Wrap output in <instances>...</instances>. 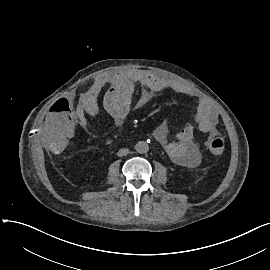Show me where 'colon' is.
Returning <instances> with one entry per match:
<instances>
[{
	"mask_svg": "<svg viewBox=\"0 0 270 270\" xmlns=\"http://www.w3.org/2000/svg\"><path fill=\"white\" fill-rule=\"evenodd\" d=\"M225 140L222 136H214L210 138L207 144L208 151L215 155L217 162H224L226 160V153L223 151Z\"/></svg>",
	"mask_w": 270,
	"mask_h": 270,
	"instance_id": "colon-1",
	"label": "colon"
}]
</instances>
